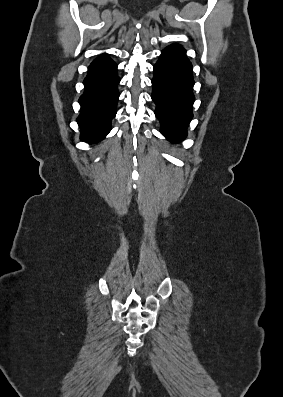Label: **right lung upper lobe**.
<instances>
[{"label": "right lung upper lobe", "mask_w": 283, "mask_h": 397, "mask_svg": "<svg viewBox=\"0 0 283 397\" xmlns=\"http://www.w3.org/2000/svg\"><path fill=\"white\" fill-rule=\"evenodd\" d=\"M105 59H108V55H107V54L101 55V57L95 59L92 63H94V62H99V61H103V60H105Z\"/></svg>", "instance_id": "cb5924a9"}]
</instances>
